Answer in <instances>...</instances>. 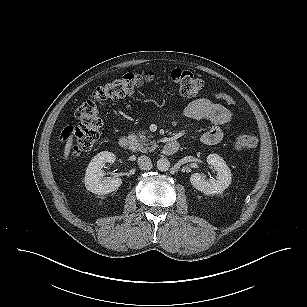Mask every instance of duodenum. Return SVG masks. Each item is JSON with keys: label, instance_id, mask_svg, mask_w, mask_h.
<instances>
[{"label": "duodenum", "instance_id": "1", "mask_svg": "<svg viewBox=\"0 0 307 307\" xmlns=\"http://www.w3.org/2000/svg\"><path fill=\"white\" fill-rule=\"evenodd\" d=\"M119 145L124 150H129L133 147L134 141L129 136H122L119 140ZM179 149V142L176 140L168 141L162 149V153L166 156L175 154Z\"/></svg>", "mask_w": 307, "mask_h": 307}]
</instances>
